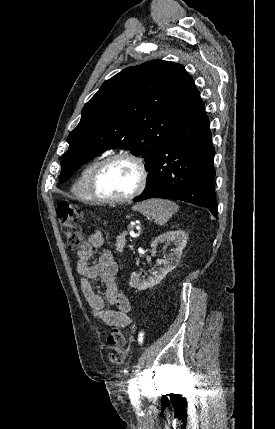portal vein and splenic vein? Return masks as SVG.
I'll list each match as a JSON object with an SVG mask.
<instances>
[{"instance_id":"obj_1","label":"portal vein and splenic vein","mask_w":275,"mask_h":429,"mask_svg":"<svg viewBox=\"0 0 275 429\" xmlns=\"http://www.w3.org/2000/svg\"><path fill=\"white\" fill-rule=\"evenodd\" d=\"M130 235H131V236H134L135 234H134V232H130Z\"/></svg>"}]
</instances>
